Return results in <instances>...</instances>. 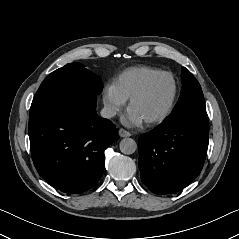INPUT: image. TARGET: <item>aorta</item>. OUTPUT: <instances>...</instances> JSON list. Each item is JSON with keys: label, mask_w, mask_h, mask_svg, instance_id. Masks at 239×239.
<instances>
[{"label": "aorta", "mask_w": 239, "mask_h": 239, "mask_svg": "<svg viewBox=\"0 0 239 239\" xmlns=\"http://www.w3.org/2000/svg\"><path fill=\"white\" fill-rule=\"evenodd\" d=\"M119 148L123 154L130 155L137 150V143L132 138H124L120 141Z\"/></svg>", "instance_id": "762f6f07"}]
</instances>
